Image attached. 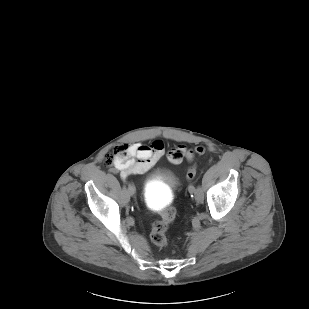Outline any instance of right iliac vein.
Returning <instances> with one entry per match:
<instances>
[{
	"mask_svg": "<svg viewBox=\"0 0 309 309\" xmlns=\"http://www.w3.org/2000/svg\"><path fill=\"white\" fill-rule=\"evenodd\" d=\"M133 194H134V192L129 193V190L127 189V192L125 193V200H126V202H128V201H129L130 196H132Z\"/></svg>",
	"mask_w": 309,
	"mask_h": 309,
	"instance_id": "63e3f726",
	"label": "right iliac vein"
}]
</instances>
